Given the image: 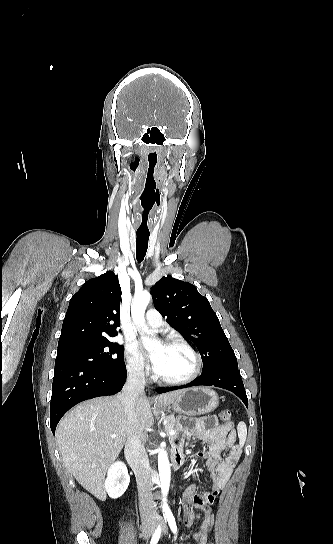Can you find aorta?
Listing matches in <instances>:
<instances>
[{"label": "aorta", "mask_w": 333, "mask_h": 544, "mask_svg": "<svg viewBox=\"0 0 333 544\" xmlns=\"http://www.w3.org/2000/svg\"><path fill=\"white\" fill-rule=\"evenodd\" d=\"M151 295L149 292L135 293L132 305H131V316L136 327L145 334H149L145 323V310L149 304ZM155 347L152 344L148 345L149 350H153ZM158 470L160 477V487L163 494L164 507H168L166 503V496L170 487V463L166 450L163 447H160L158 450Z\"/></svg>", "instance_id": "aorta-1"}]
</instances>
